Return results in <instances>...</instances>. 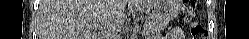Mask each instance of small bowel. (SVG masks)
Segmentation results:
<instances>
[{"instance_id": "c3829d8e", "label": "small bowel", "mask_w": 249, "mask_h": 39, "mask_svg": "<svg viewBox=\"0 0 249 39\" xmlns=\"http://www.w3.org/2000/svg\"><path fill=\"white\" fill-rule=\"evenodd\" d=\"M182 35L181 31L179 29H172L169 33H168V37L171 39H175L178 38Z\"/></svg>"}]
</instances>
